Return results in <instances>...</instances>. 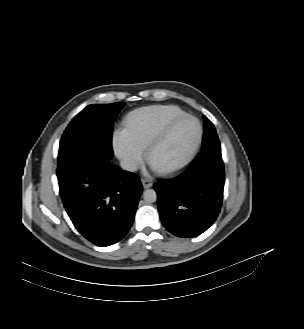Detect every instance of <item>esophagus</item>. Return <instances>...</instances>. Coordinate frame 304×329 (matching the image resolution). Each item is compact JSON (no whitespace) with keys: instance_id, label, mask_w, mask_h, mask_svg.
Returning a JSON list of instances; mask_svg holds the SVG:
<instances>
[{"instance_id":"1","label":"esophagus","mask_w":304,"mask_h":329,"mask_svg":"<svg viewBox=\"0 0 304 329\" xmlns=\"http://www.w3.org/2000/svg\"><path fill=\"white\" fill-rule=\"evenodd\" d=\"M142 185H143L144 189H148V188L152 187L153 182L150 179L144 178V179H142Z\"/></svg>"}]
</instances>
